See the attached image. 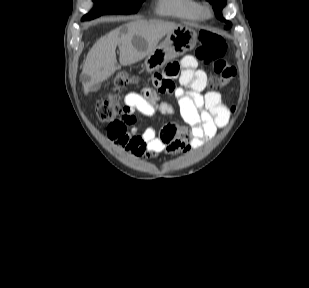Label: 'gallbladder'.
Masks as SVG:
<instances>
[{
    "instance_id": "gallbladder-1",
    "label": "gallbladder",
    "mask_w": 309,
    "mask_h": 288,
    "mask_svg": "<svg viewBox=\"0 0 309 288\" xmlns=\"http://www.w3.org/2000/svg\"><path fill=\"white\" fill-rule=\"evenodd\" d=\"M100 88H101V84L98 83V84L93 85V86L90 88V91H91V92H97Z\"/></svg>"
}]
</instances>
